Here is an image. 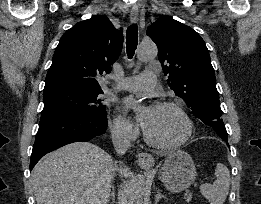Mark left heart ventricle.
<instances>
[{
  "instance_id": "left-heart-ventricle-1",
  "label": "left heart ventricle",
  "mask_w": 261,
  "mask_h": 204,
  "mask_svg": "<svg viewBox=\"0 0 261 204\" xmlns=\"http://www.w3.org/2000/svg\"><path fill=\"white\" fill-rule=\"evenodd\" d=\"M142 118L145 130L160 143L177 142L185 134V122L182 116L172 108L151 107L143 112Z\"/></svg>"
}]
</instances>
